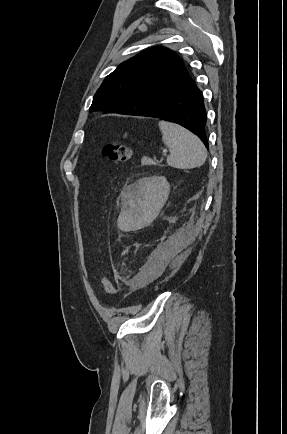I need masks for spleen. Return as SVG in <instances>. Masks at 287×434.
<instances>
[{
	"label": "spleen",
	"instance_id": "3e777b00",
	"mask_svg": "<svg viewBox=\"0 0 287 434\" xmlns=\"http://www.w3.org/2000/svg\"><path fill=\"white\" fill-rule=\"evenodd\" d=\"M159 128L163 143L170 151L167 157L169 166L177 169H192L205 163L207 150L196 135L180 125L166 121H160ZM142 223L145 221L143 220Z\"/></svg>",
	"mask_w": 287,
	"mask_h": 434
}]
</instances>
